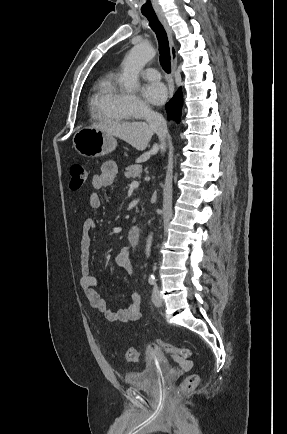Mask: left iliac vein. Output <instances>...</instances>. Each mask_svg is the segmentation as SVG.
Wrapping results in <instances>:
<instances>
[{"label":"left iliac vein","instance_id":"1","mask_svg":"<svg viewBox=\"0 0 287 434\" xmlns=\"http://www.w3.org/2000/svg\"><path fill=\"white\" fill-rule=\"evenodd\" d=\"M152 302L156 307H160L163 304V300L160 296L159 288L157 286L153 289Z\"/></svg>","mask_w":287,"mask_h":434}]
</instances>
